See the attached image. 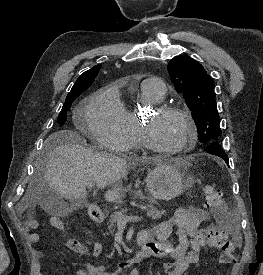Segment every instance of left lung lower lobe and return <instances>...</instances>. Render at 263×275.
Segmentation results:
<instances>
[{"mask_svg":"<svg viewBox=\"0 0 263 275\" xmlns=\"http://www.w3.org/2000/svg\"><path fill=\"white\" fill-rule=\"evenodd\" d=\"M206 151H207V153L221 157L226 162V164L229 166L228 156L222 149V146L219 142H212V143L208 144Z\"/></svg>","mask_w":263,"mask_h":275,"instance_id":"obj_1","label":"left lung lower lobe"}]
</instances>
